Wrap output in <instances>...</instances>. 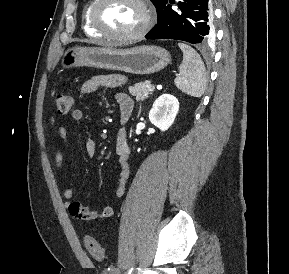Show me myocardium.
Instances as JSON below:
<instances>
[{
	"label": "myocardium",
	"instance_id": "obj_1",
	"mask_svg": "<svg viewBox=\"0 0 289 274\" xmlns=\"http://www.w3.org/2000/svg\"><path fill=\"white\" fill-rule=\"evenodd\" d=\"M110 0H94L90 10V23L92 27L100 33L102 36L116 41H134L142 38L149 30L151 25V14L150 10L144 0H133L137 3L143 11V23L141 27L132 33L118 34L107 30L99 21L98 12L102 5L109 2Z\"/></svg>",
	"mask_w": 289,
	"mask_h": 274
}]
</instances>
